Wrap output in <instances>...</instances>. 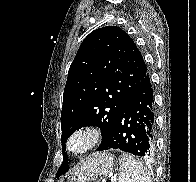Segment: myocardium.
<instances>
[{
    "label": "myocardium",
    "mask_w": 196,
    "mask_h": 182,
    "mask_svg": "<svg viewBox=\"0 0 196 182\" xmlns=\"http://www.w3.org/2000/svg\"><path fill=\"white\" fill-rule=\"evenodd\" d=\"M102 132L99 127L93 124H83L76 127L68 136L66 148L69 153L80 157L92 151L101 141ZM82 141V146L79 149H74L75 141Z\"/></svg>",
    "instance_id": "obj_1"
}]
</instances>
